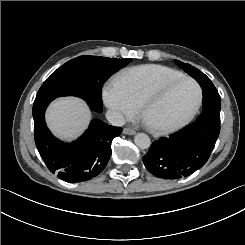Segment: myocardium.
<instances>
[{"label":"myocardium","instance_id":"1","mask_svg":"<svg viewBox=\"0 0 245 245\" xmlns=\"http://www.w3.org/2000/svg\"><path fill=\"white\" fill-rule=\"evenodd\" d=\"M179 81H187L191 83L195 88L196 97H195V101L191 109L182 118L175 120V121L164 122V123H151L147 121L146 120V113L148 110L147 103H148L150 96L154 92H156L158 89L165 87V86H171L174 83L179 82ZM201 101H202V89L200 85L197 83V81H195L191 77L181 75L178 77L159 79L149 84L144 89V91L142 92L140 96V99L138 102V108L148 128L156 132L165 133V132H170V131H173V130H176V129H179L185 126L198 111L201 105Z\"/></svg>","mask_w":245,"mask_h":245}]
</instances>
